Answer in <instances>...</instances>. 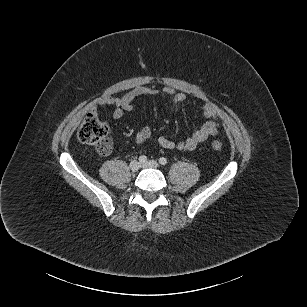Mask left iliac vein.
<instances>
[{
	"mask_svg": "<svg viewBox=\"0 0 307 307\" xmlns=\"http://www.w3.org/2000/svg\"><path fill=\"white\" fill-rule=\"evenodd\" d=\"M158 166H159L158 162H156L154 160H149V161L141 164L142 168H157Z\"/></svg>",
	"mask_w": 307,
	"mask_h": 307,
	"instance_id": "1",
	"label": "left iliac vein"
}]
</instances>
